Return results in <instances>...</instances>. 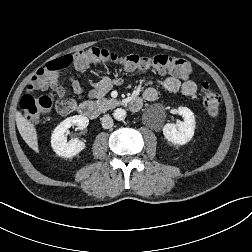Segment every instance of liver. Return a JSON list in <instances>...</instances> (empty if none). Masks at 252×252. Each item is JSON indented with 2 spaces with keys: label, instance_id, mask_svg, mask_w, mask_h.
Listing matches in <instances>:
<instances>
[{
  "label": "liver",
  "instance_id": "1",
  "mask_svg": "<svg viewBox=\"0 0 252 252\" xmlns=\"http://www.w3.org/2000/svg\"><path fill=\"white\" fill-rule=\"evenodd\" d=\"M18 131L26 144L35 152H39L37 131L34 125L28 121L20 112L16 114Z\"/></svg>",
  "mask_w": 252,
  "mask_h": 252
}]
</instances>
